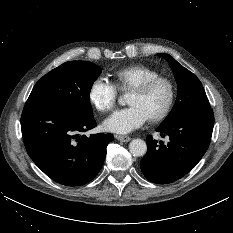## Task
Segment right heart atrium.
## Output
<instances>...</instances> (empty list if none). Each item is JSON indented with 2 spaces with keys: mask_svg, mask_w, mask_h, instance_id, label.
Segmentation results:
<instances>
[{
  "mask_svg": "<svg viewBox=\"0 0 233 233\" xmlns=\"http://www.w3.org/2000/svg\"><path fill=\"white\" fill-rule=\"evenodd\" d=\"M118 90L116 86L104 78L95 79L88 91L91 105L99 112L111 111L117 101Z\"/></svg>",
  "mask_w": 233,
  "mask_h": 233,
  "instance_id": "right-heart-atrium-1",
  "label": "right heart atrium"
}]
</instances>
